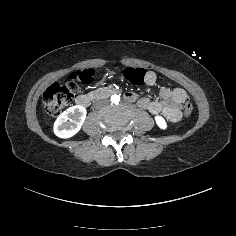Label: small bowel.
Masks as SVG:
<instances>
[{
	"instance_id": "obj_1",
	"label": "small bowel",
	"mask_w": 236,
	"mask_h": 236,
	"mask_svg": "<svg viewBox=\"0 0 236 236\" xmlns=\"http://www.w3.org/2000/svg\"><path fill=\"white\" fill-rule=\"evenodd\" d=\"M152 76H153V75H150V77L147 78V84H149V85H151V84L154 83V80L152 79ZM165 93H168V92H165ZM173 95H175V96L178 98V100H179V105H180V106H183V102H184L185 99H186V92H185L184 90H182V89H175V90L173 91Z\"/></svg>"
}]
</instances>
